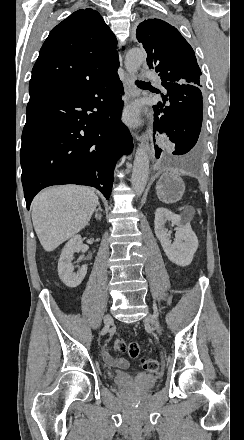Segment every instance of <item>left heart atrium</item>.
Instances as JSON below:
<instances>
[{"label":"left heart atrium","mask_w":244,"mask_h":440,"mask_svg":"<svg viewBox=\"0 0 244 440\" xmlns=\"http://www.w3.org/2000/svg\"><path fill=\"white\" fill-rule=\"evenodd\" d=\"M138 112V107L136 106L129 108L125 114L126 120L130 123L136 122L138 118Z\"/></svg>","instance_id":"obj_1"}]
</instances>
